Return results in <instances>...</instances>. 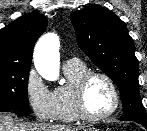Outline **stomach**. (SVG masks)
<instances>
[{
  "instance_id": "1",
  "label": "stomach",
  "mask_w": 147,
  "mask_h": 131,
  "mask_svg": "<svg viewBox=\"0 0 147 131\" xmlns=\"http://www.w3.org/2000/svg\"><path fill=\"white\" fill-rule=\"evenodd\" d=\"M83 131H100L99 129H97V128H94V127H90V128H86V129H84Z\"/></svg>"
}]
</instances>
